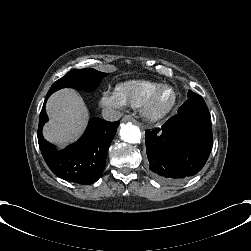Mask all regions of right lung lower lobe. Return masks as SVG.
Wrapping results in <instances>:
<instances>
[{"mask_svg":"<svg viewBox=\"0 0 251 251\" xmlns=\"http://www.w3.org/2000/svg\"><path fill=\"white\" fill-rule=\"evenodd\" d=\"M45 99L40 113L38 143L42 156L50 170L60 178L82 185L96 182L105 168L108 148L116 134L119 122L91 118L82 137L63 151L43 138L42 127L48 121Z\"/></svg>","mask_w":251,"mask_h":251,"instance_id":"98d812e1","label":"right lung lower lobe"}]
</instances>
